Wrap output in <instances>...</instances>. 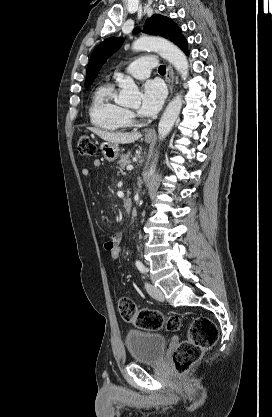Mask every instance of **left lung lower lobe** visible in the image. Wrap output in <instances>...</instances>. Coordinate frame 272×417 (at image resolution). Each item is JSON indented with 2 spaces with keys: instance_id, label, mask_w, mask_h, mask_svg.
Here are the masks:
<instances>
[{
  "instance_id": "1",
  "label": "left lung lower lobe",
  "mask_w": 272,
  "mask_h": 417,
  "mask_svg": "<svg viewBox=\"0 0 272 417\" xmlns=\"http://www.w3.org/2000/svg\"><path fill=\"white\" fill-rule=\"evenodd\" d=\"M184 52L187 54V55H189V52H188V50L186 49V50H184Z\"/></svg>"
}]
</instances>
